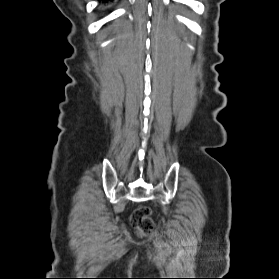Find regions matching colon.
Listing matches in <instances>:
<instances>
[{
	"label": "colon",
	"mask_w": 279,
	"mask_h": 279,
	"mask_svg": "<svg viewBox=\"0 0 279 279\" xmlns=\"http://www.w3.org/2000/svg\"><path fill=\"white\" fill-rule=\"evenodd\" d=\"M131 221L138 232L143 235L152 233L155 227L151 218V209L146 206L136 209L131 216Z\"/></svg>",
	"instance_id": "obj_1"
}]
</instances>
